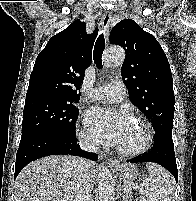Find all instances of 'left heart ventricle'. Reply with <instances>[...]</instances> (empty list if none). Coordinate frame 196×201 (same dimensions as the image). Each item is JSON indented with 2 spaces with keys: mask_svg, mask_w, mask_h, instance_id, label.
Masks as SVG:
<instances>
[{
  "mask_svg": "<svg viewBox=\"0 0 196 201\" xmlns=\"http://www.w3.org/2000/svg\"><path fill=\"white\" fill-rule=\"evenodd\" d=\"M144 140L143 128L136 122H131L122 134L118 147L124 150H133L138 148Z\"/></svg>",
  "mask_w": 196,
  "mask_h": 201,
  "instance_id": "b2bd125f",
  "label": "left heart ventricle"
}]
</instances>
